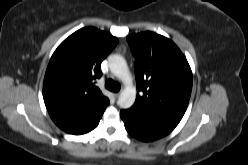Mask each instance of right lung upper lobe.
<instances>
[{"mask_svg": "<svg viewBox=\"0 0 248 165\" xmlns=\"http://www.w3.org/2000/svg\"><path fill=\"white\" fill-rule=\"evenodd\" d=\"M118 39L94 27L66 38L48 64L43 98L54 123L70 134H80L100 120L109 99L95 85L101 62Z\"/></svg>", "mask_w": 248, "mask_h": 165, "instance_id": "right-lung-upper-lobe-1", "label": "right lung upper lobe"}]
</instances>
